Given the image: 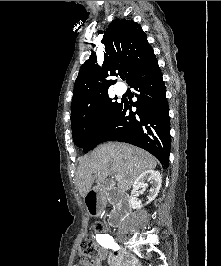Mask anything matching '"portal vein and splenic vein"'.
<instances>
[{
	"label": "portal vein and splenic vein",
	"instance_id": "18ae733b",
	"mask_svg": "<svg viewBox=\"0 0 221 266\" xmlns=\"http://www.w3.org/2000/svg\"><path fill=\"white\" fill-rule=\"evenodd\" d=\"M116 180H120L121 176L120 175H115Z\"/></svg>",
	"mask_w": 221,
	"mask_h": 266
}]
</instances>
